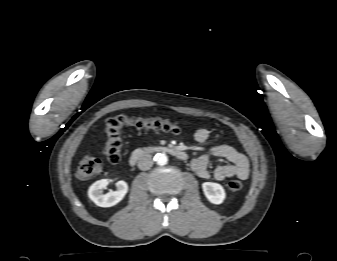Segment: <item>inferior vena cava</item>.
<instances>
[{
  "instance_id": "602c4592",
  "label": "inferior vena cava",
  "mask_w": 337,
  "mask_h": 261,
  "mask_svg": "<svg viewBox=\"0 0 337 261\" xmlns=\"http://www.w3.org/2000/svg\"><path fill=\"white\" fill-rule=\"evenodd\" d=\"M153 165V159L150 154L142 155L138 160V168L140 170L146 171L149 170Z\"/></svg>"
}]
</instances>
